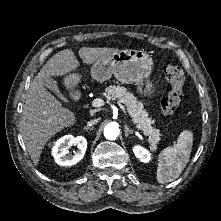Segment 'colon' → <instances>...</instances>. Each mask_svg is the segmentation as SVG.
Listing matches in <instances>:
<instances>
[{
	"mask_svg": "<svg viewBox=\"0 0 221 221\" xmlns=\"http://www.w3.org/2000/svg\"><path fill=\"white\" fill-rule=\"evenodd\" d=\"M164 75L171 89L162 98L161 109L165 116H169L176 111L183 99L185 76L180 67L173 65L164 68Z\"/></svg>",
	"mask_w": 221,
	"mask_h": 221,
	"instance_id": "1",
	"label": "colon"
}]
</instances>
